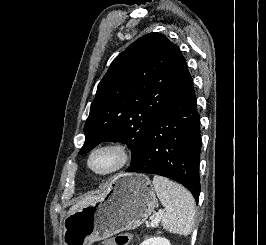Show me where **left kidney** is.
Instances as JSON below:
<instances>
[{
  "label": "left kidney",
  "instance_id": "left-kidney-1",
  "mask_svg": "<svg viewBox=\"0 0 266 245\" xmlns=\"http://www.w3.org/2000/svg\"><path fill=\"white\" fill-rule=\"evenodd\" d=\"M141 245H171V243L164 237H147L145 241H142Z\"/></svg>",
  "mask_w": 266,
  "mask_h": 245
}]
</instances>
